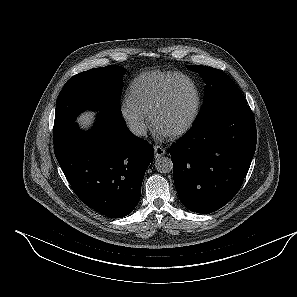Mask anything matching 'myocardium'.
Instances as JSON below:
<instances>
[{
    "label": "myocardium",
    "instance_id": "obj_1",
    "mask_svg": "<svg viewBox=\"0 0 297 297\" xmlns=\"http://www.w3.org/2000/svg\"><path fill=\"white\" fill-rule=\"evenodd\" d=\"M179 81H187L188 83H190V85L193 88L194 91V95H195V100H194V105L191 111V114L189 116V118L186 120V122L181 125L179 128H177L176 130L172 131L169 134H166L167 137L169 138H177L180 137L182 135H184L187 131L190 130V128L193 126V124L195 123L198 114H199V110H200V105H201V96H200V91L199 88L196 84V82L189 76L184 75V74H178L175 78H173L165 87V89L163 90L162 94L160 95V97L157 99V101L154 103V105L152 106V108L149 111V121L151 126L153 127V129H155L154 126V119L156 114L164 107V105L167 103L171 91L174 88V86L179 82Z\"/></svg>",
    "mask_w": 297,
    "mask_h": 297
}]
</instances>
